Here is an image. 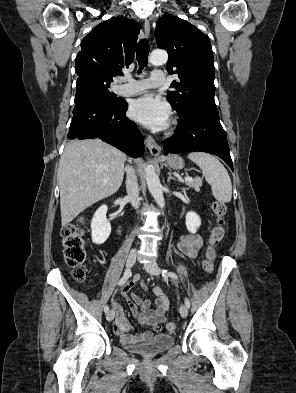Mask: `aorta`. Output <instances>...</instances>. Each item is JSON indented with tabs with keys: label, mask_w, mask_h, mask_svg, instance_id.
<instances>
[{
	"label": "aorta",
	"mask_w": 296,
	"mask_h": 393,
	"mask_svg": "<svg viewBox=\"0 0 296 393\" xmlns=\"http://www.w3.org/2000/svg\"><path fill=\"white\" fill-rule=\"evenodd\" d=\"M168 60V54L164 50H154L149 61L155 66L163 65ZM145 177L148 185L149 192L153 196L154 200L160 208L165 207V200L162 192V185L160 183L159 177L153 170L152 166H147L145 169Z\"/></svg>",
	"instance_id": "762f6f07"
}]
</instances>
